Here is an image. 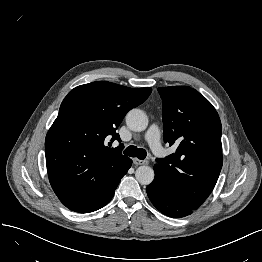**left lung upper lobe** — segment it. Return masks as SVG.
<instances>
[{
    "label": "left lung upper lobe",
    "mask_w": 262,
    "mask_h": 262,
    "mask_svg": "<svg viewBox=\"0 0 262 262\" xmlns=\"http://www.w3.org/2000/svg\"><path fill=\"white\" fill-rule=\"evenodd\" d=\"M164 141L175 153L157 159L154 171L163 188L196 210L210 195L223 159L221 121L212 104L188 86L160 87Z\"/></svg>",
    "instance_id": "1"
}]
</instances>
